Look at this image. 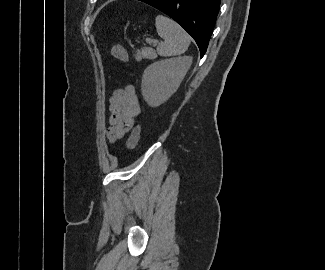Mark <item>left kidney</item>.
Wrapping results in <instances>:
<instances>
[{"label":"left kidney","mask_w":325,"mask_h":270,"mask_svg":"<svg viewBox=\"0 0 325 270\" xmlns=\"http://www.w3.org/2000/svg\"><path fill=\"white\" fill-rule=\"evenodd\" d=\"M192 64V57L180 56L149 65L143 74L142 95L151 107L166 102L179 88Z\"/></svg>","instance_id":"left-kidney-1"}]
</instances>
